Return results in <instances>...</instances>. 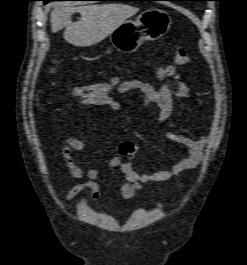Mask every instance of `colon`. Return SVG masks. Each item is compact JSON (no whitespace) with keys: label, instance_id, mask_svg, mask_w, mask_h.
Wrapping results in <instances>:
<instances>
[{"label":"colon","instance_id":"colon-1","mask_svg":"<svg viewBox=\"0 0 247 265\" xmlns=\"http://www.w3.org/2000/svg\"><path fill=\"white\" fill-rule=\"evenodd\" d=\"M174 60L179 66H186L190 63V57L184 48L176 49ZM119 83L117 79L113 78L107 82L76 86L71 88L70 94L84 105L106 106ZM137 150V146L130 141L122 142L119 146V154L125 157L133 156Z\"/></svg>","mask_w":247,"mask_h":265}]
</instances>
